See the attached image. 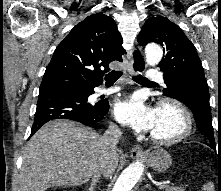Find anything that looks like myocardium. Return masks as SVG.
<instances>
[{
    "instance_id": "obj_1",
    "label": "myocardium",
    "mask_w": 221,
    "mask_h": 191,
    "mask_svg": "<svg viewBox=\"0 0 221 191\" xmlns=\"http://www.w3.org/2000/svg\"><path fill=\"white\" fill-rule=\"evenodd\" d=\"M164 108H171L175 110L181 117L180 130L171 136H160L155 133L150 134L151 140L160 145H172L179 143L186 139L193 129V116L190 110L180 101L172 98H164L158 103V111Z\"/></svg>"
}]
</instances>
